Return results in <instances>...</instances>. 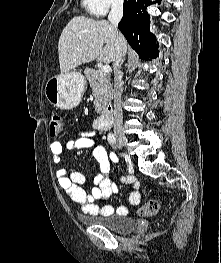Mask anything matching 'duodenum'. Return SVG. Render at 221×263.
Masks as SVG:
<instances>
[{
  "instance_id": "duodenum-1",
  "label": "duodenum",
  "mask_w": 221,
  "mask_h": 263,
  "mask_svg": "<svg viewBox=\"0 0 221 263\" xmlns=\"http://www.w3.org/2000/svg\"><path fill=\"white\" fill-rule=\"evenodd\" d=\"M113 108L109 105L103 114L97 119L95 126L100 131L108 130L113 124Z\"/></svg>"
}]
</instances>
